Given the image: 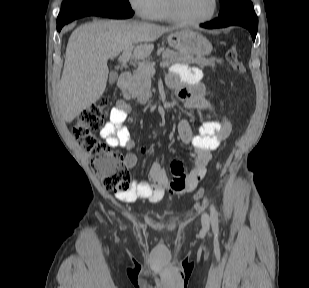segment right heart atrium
<instances>
[{
    "label": "right heart atrium",
    "mask_w": 309,
    "mask_h": 288,
    "mask_svg": "<svg viewBox=\"0 0 309 288\" xmlns=\"http://www.w3.org/2000/svg\"><path fill=\"white\" fill-rule=\"evenodd\" d=\"M160 0H128L132 10L142 18L152 19Z\"/></svg>",
    "instance_id": "right-heart-atrium-1"
}]
</instances>
